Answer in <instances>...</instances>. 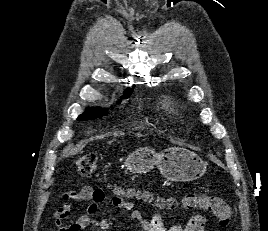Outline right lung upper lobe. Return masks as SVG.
Listing matches in <instances>:
<instances>
[{"label": "right lung upper lobe", "instance_id": "right-lung-upper-lobe-1", "mask_svg": "<svg viewBox=\"0 0 268 231\" xmlns=\"http://www.w3.org/2000/svg\"><path fill=\"white\" fill-rule=\"evenodd\" d=\"M132 92H133V88L132 89L131 88L127 89L126 91H124L123 97L128 98L131 95Z\"/></svg>", "mask_w": 268, "mask_h": 231}]
</instances>
